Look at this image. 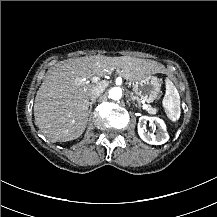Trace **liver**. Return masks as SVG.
Instances as JSON below:
<instances>
[{"instance_id":"1","label":"liver","mask_w":217,"mask_h":217,"mask_svg":"<svg viewBox=\"0 0 217 217\" xmlns=\"http://www.w3.org/2000/svg\"><path fill=\"white\" fill-rule=\"evenodd\" d=\"M116 72L120 77L137 82L156 73L164 74L165 66L157 61L130 56H88L61 61L46 72L34 102L35 126L51 142L79 138L86 130L89 110L90 80Z\"/></svg>"}]
</instances>
